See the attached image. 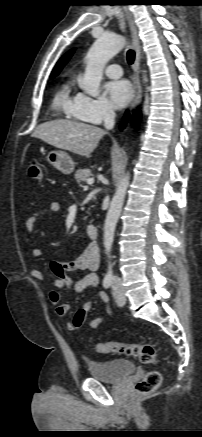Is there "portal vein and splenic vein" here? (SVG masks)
<instances>
[{
  "label": "portal vein and splenic vein",
  "instance_id": "1",
  "mask_svg": "<svg viewBox=\"0 0 202 437\" xmlns=\"http://www.w3.org/2000/svg\"><path fill=\"white\" fill-rule=\"evenodd\" d=\"M86 181H87V184H89V185L94 183V179L93 178H88Z\"/></svg>",
  "mask_w": 202,
  "mask_h": 437
}]
</instances>
